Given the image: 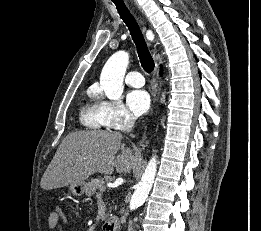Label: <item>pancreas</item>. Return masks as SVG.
Listing matches in <instances>:
<instances>
[{"instance_id":"pancreas-1","label":"pancreas","mask_w":261,"mask_h":231,"mask_svg":"<svg viewBox=\"0 0 261 231\" xmlns=\"http://www.w3.org/2000/svg\"><path fill=\"white\" fill-rule=\"evenodd\" d=\"M100 188H105L104 179L102 177L91 179L85 186L86 196H92L96 193V190H100Z\"/></svg>"}]
</instances>
